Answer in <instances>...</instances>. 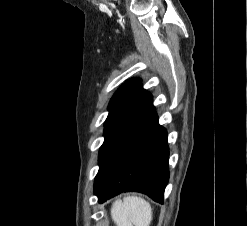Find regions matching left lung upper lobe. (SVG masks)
<instances>
[{"label":"left lung upper lobe","instance_id":"5c2ea615","mask_svg":"<svg viewBox=\"0 0 247 226\" xmlns=\"http://www.w3.org/2000/svg\"><path fill=\"white\" fill-rule=\"evenodd\" d=\"M139 85L140 80L134 78L127 81L116 91L109 104V115L105 121V126Z\"/></svg>","mask_w":247,"mask_h":226}]
</instances>
